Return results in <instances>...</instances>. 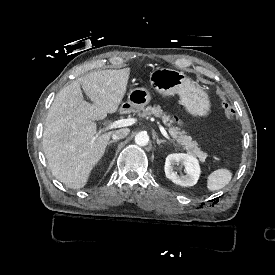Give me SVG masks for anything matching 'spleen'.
Listing matches in <instances>:
<instances>
[{
  "label": "spleen",
  "instance_id": "3e777b00",
  "mask_svg": "<svg viewBox=\"0 0 275 275\" xmlns=\"http://www.w3.org/2000/svg\"><path fill=\"white\" fill-rule=\"evenodd\" d=\"M233 177V172L228 168H219L209 173L206 178L208 191H217L228 185Z\"/></svg>",
  "mask_w": 275,
  "mask_h": 275
}]
</instances>
